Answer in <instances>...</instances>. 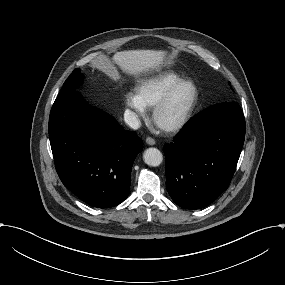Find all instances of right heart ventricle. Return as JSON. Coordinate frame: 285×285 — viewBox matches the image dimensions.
I'll return each instance as SVG.
<instances>
[{
    "label": "right heart ventricle",
    "mask_w": 285,
    "mask_h": 285,
    "mask_svg": "<svg viewBox=\"0 0 285 285\" xmlns=\"http://www.w3.org/2000/svg\"><path fill=\"white\" fill-rule=\"evenodd\" d=\"M183 78L172 72H161L144 81L136 89V93L145 106L153 109L167 91Z\"/></svg>",
    "instance_id": "obj_1"
}]
</instances>
